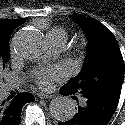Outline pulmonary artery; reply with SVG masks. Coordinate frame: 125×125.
Here are the masks:
<instances>
[{
    "label": "pulmonary artery",
    "mask_w": 125,
    "mask_h": 125,
    "mask_svg": "<svg viewBox=\"0 0 125 125\" xmlns=\"http://www.w3.org/2000/svg\"><path fill=\"white\" fill-rule=\"evenodd\" d=\"M46 38L49 49L52 53H58L65 47L66 39L61 35L47 34ZM16 85V82L14 84H8L7 89H10ZM84 103V100H82L81 104L83 105Z\"/></svg>",
    "instance_id": "pulmonary-artery-1"
}]
</instances>
